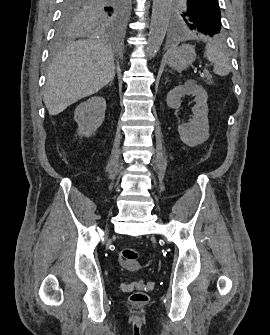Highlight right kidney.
Returning a JSON list of instances; mask_svg holds the SVG:
<instances>
[{"label":"right kidney","mask_w":270,"mask_h":335,"mask_svg":"<svg viewBox=\"0 0 270 335\" xmlns=\"http://www.w3.org/2000/svg\"><path fill=\"white\" fill-rule=\"evenodd\" d=\"M106 102L101 96H93L79 104L74 120L78 124V136H92L104 122Z\"/></svg>","instance_id":"obj_1"}]
</instances>
